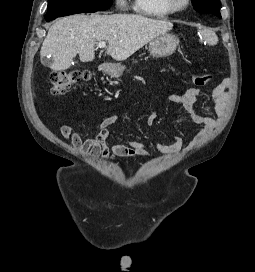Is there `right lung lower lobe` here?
I'll list each match as a JSON object with an SVG mask.
<instances>
[{"instance_id": "obj_1", "label": "right lung lower lobe", "mask_w": 255, "mask_h": 272, "mask_svg": "<svg viewBox=\"0 0 255 272\" xmlns=\"http://www.w3.org/2000/svg\"><path fill=\"white\" fill-rule=\"evenodd\" d=\"M57 17H54V18H51V19H46V21H51V20H54L56 19Z\"/></svg>"}]
</instances>
